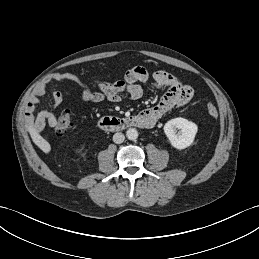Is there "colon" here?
I'll use <instances>...</instances> for the list:
<instances>
[{"label": "colon", "mask_w": 259, "mask_h": 259, "mask_svg": "<svg viewBox=\"0 0 259 259\" xmlns=\"http://www.w3.org/2000/svg\"><path fill=\"white\" fill-rule=\"evenodd\" d=\"M207 112L211 117L218 115V110L215 105L209 103L207 105ZM72 127V116L69 112H63L58 117L54 126V131L57 134L66 133Z\"/></svg>", "instance_id": "obj_1"}]
</instances>
